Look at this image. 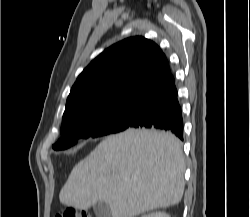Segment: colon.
Segmentation results:
<instances>
[{
  "instance_id": "obj_1",
  "label": "colon",
  "mask_w": 250,
  "mask_h": 217,
  "mask_svg": "<svg viewBox=\"0 0 250 217\" xmlns=\"http://www.w3.org/2000/svg\"><path fill=\"white\" fill-rule=\"evenodd\" d=\"M55 217H91L85 210L66 208L58 212Z\"/></svg>"
}]
</instances>
